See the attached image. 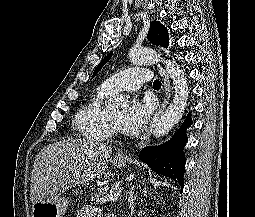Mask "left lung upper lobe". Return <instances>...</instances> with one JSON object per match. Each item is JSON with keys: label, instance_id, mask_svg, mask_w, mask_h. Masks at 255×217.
Returning <instances> with one entry per match:
<instances>
[{"label": "left lung upper lobe", "instance_id": "5c2ea615", "mask_svg": "<svg viewBox=\"0 0 255 217\" xmlns=\"http://www.w3.org/2000/svg\"><path fill=\"white\" fill-rule=\"evenodd\" d=\"M148 40L152 44L160 45L164 48L168 46L169 37L168 30L158 21L154 20L150 23V28L148 31ZM112 53L108 54L96 67L92 78L101 70V68L106 64V62L111 58Z\"/></svg>", "mask_w": 255, "mask_h": 217}]
</instances>
